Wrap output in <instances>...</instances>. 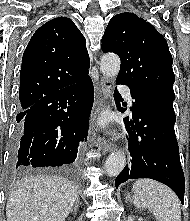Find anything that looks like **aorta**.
I'll return each mask as SVG.
<instances>
[{
    "mask_svg": "<svg viewBox=\"0 0 190 221\" xmlns=\"http://www.w3.org/2000/svg\"><path fill=\"white\" fill-rule=\"evenodd\" d=\"M100 70L104 76L114 78L120 70V58L115 54H105L100 63ZM126 157L123 152L111 154L105 162V170L109 176H117L124 168Z\"/></svg>",
    "mask_w": 190,
    "mask_h": 221,
    "instance_id": "762f6f07",
    "label": "aorta"
}]
</instances>
